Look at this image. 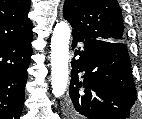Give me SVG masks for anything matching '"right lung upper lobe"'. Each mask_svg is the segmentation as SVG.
I'll list each match as a JSON object with an SVG mask.
<instances>
[{"label":"right lung upper lobe","instance_id":"1","mask_svg":"<svg viewBox=\"0 0 142 119\" xmlns=\"http://www.w3.org/2000/svg\"><path fill=\"white\" fill-rule=\"evenodd\" d=\"M31 0H0V46L32 34L28 18Z\"/></svg>","mask_w":142,"mask_h":119}]
</instances>
